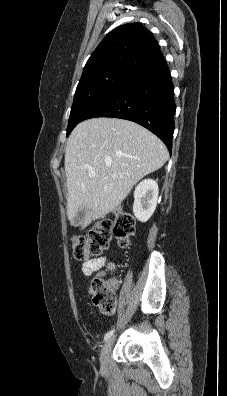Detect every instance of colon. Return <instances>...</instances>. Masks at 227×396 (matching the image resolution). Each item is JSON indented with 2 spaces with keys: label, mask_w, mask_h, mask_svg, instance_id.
Returning a JSON list of instances; mask_svg holds the SVG:
<instances>
[{
  "label": "colon",
  "mask_w": 227,
  "mask_h": 396,
  "mask_svg": "<svg viewBox=\"0 0 227 396\" xmlns=\"http://www.w3.org/2000/svg\"><path fill=\"white\" fill-rule=\"evenodd\" d=\"M135 232L133 217L122 210L115 213L114 221L101 220L87 236H77L73 240L72 253L78 261H88L108 249L113 237L121 247H127ZM89 293L93 303L107 315L116 310L114 284L102 273L90 282Z\"/></svg>",
  "instance_id": "5ec220e1"
}]
</instances>
